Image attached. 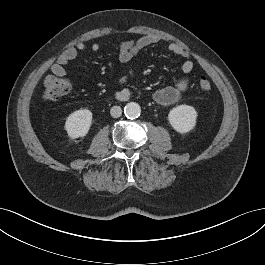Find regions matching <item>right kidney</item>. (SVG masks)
Returning a JSON list of instances; mask_svg holds the SVG:
<instances>
[{"instance_id": "ca27d5eb", "label": "right kidney", "mask_w": 265, "mask_h": 265, "mask_svg": "<svg viewBox=\"0 0 265 265\" xmlns=\"http://www.w3.org/2000/svg\"><path fill=\"white\" fill-rule=\"evenodd\" d=\"M92 122V112L87 109H80L71 113L65 122V129L71 139L87 135Z\"/></svg>"}]
</instances>
